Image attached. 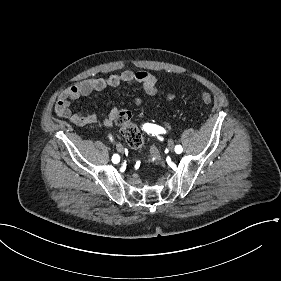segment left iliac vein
<instances>
[{"instance_id": "4c4485c4", "label": "left iliac vein", "mask_w": 281, "mask_h": 281, "mask_svg": "<svg viewBox=\"0 0 281 281\" xmlns=\"http://www.w3.org/2000/svg\"><path fill=\"white\" fill-rule=\"evenodd\" d=\"M168 148H169L170 150H173V148H174V142H173L172 140H169V141H168Z\"/></svg>"}]
</instances>
